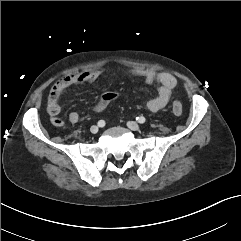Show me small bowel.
I'll return each instance as SVG.
<instances>
[{
    "label": "small bowel",
    "mask_w": 241,
    "mask_h": 241,
    "mask_svg": "<svg viewBox=\"0 0 241 241\" xmlns=\"http://www.w3.org/2000/svg\"><path fill=\"white\" fill-rule=\"evenodd\" d=\"M125 75L128 77L143 78L147 84L157 86V95L150 98L146 103L147 109L151 112H158L168 104L173 90L177 85V79L172 74L167 72L157 73L152 69L136 68L126 72ZM103 76V70H87L68 75L56 82L51 88L47 105L51 123L56 127L64 125V121L58 117L61 112L59 99L69 88L81 84L93 83ZM111 101L104 102L100 98L94 105L93 110L97 113L102 112ZM79 119L80 116L77 112H71L68 115V120L72 124L77 123Z\"/></svg>",
    "instance_id": "small-bowel-1"
}]
</instances>
